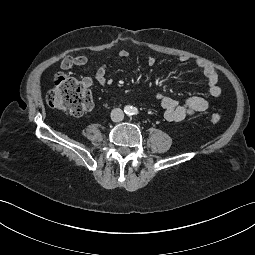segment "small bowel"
<instances>
[{
    "instance_id": "1",
    "label": "small bowel",
    "mask_w": 255,
    "mask_h": 255,
    "mask_svg": "<svg viewBox=\"0 0 255 255\" xmlns=\"http://www.w3.org/2000/svg\"><path fill=\"white\" fill-rule=\"evenodd\" d=\"M130 57V53L127 50H121L118 53V58L120 59H128ZM88 61V57L86 55L79 56H67L65 57L60 64L62 70H70L75 66L85 65ZM180 61L182 63H186L189 61L187 56L180 57ZM147 65L152 67L156 63V59L152 55H148L146 58ZM197 67L201 70L204 75L209 94L213 97H219L221 95V88L218 85V71L211 65L198 60L196 62ZM109 70V65L107 63L102 64L96 70L94 77H86L83 79V83L86 87H91L94 82L100 85H106L108 83L107 73ZM157 100L159 105L164 111V117L168 121H182L190 116H193L196 113L203 112L208 109L209 102L207 99L201 96H191L187 98L183 103H179L178 101L165 96L162 93L157 94Z\"/></svg>"
}]
</instances>
